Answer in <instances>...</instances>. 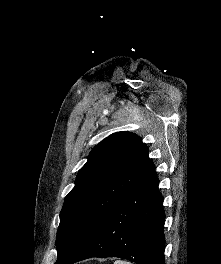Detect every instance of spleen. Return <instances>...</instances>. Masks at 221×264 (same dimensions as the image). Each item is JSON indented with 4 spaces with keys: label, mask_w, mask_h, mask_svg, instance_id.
<instances>
[{
    "label": "spleen",
    "mask_w": 221,
    "mask_h": 264,
    "mask_svg": "<svg viewBox=\"0 0 221 264\" xmlns=\"http://www.w3.org/2000/svg\"><path fill=\"white\" fill-rule=\"evenodd\" d=\"M114 264H131V263H129V262H127V261H123V260H116V261L114 262Z\"/></svg>",
    "instance_id": "3e777b00"
}]
</instances>
